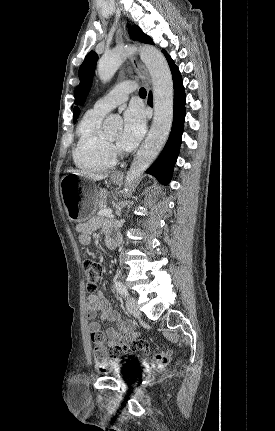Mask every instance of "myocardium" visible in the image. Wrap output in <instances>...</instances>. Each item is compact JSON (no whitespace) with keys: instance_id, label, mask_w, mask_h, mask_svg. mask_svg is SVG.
<instances>
[{"instance_id":"f54148a6","label":"myocardium","mask_w":275,"mask_h":431,"mask_svg":"<svg viewBox=\"0 0 275 431\" xmlns=\"http://www.w3.org/2000/svg\"><path fill=\"white\" fill-rule=\"evenodd\" d=\"M108 141V144L110 145V147H111V149H112V154L113 155H115L116 154V151H115V149H114V147H113V143L111 142V141H109V140H107Z\"/></svg>"}]
</instances>
